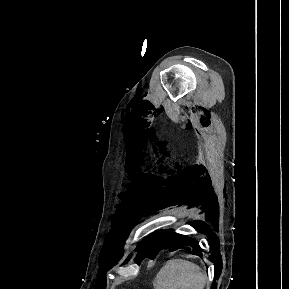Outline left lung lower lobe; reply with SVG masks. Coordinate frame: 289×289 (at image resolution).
Instances as JSON below:
<instances>
[{"mask_svg":"<svg viewBox=\"0 0 289 289\" xmlns=\"http://www.w3.org/2000/svg\"><path fill=\"white\" fill-rule=\"evenodd\" d=\"M162 241L164 242L165 247L180 248L184 245H190L193 248L200 249L196 240L178 235L172 231L168 235H163Z\"/></svg>","mask_w":289,"mask_h":289,"instance_id":"obj_1","label":"left lung lower lobe"}]
</instances>
